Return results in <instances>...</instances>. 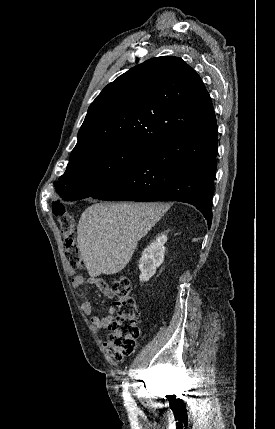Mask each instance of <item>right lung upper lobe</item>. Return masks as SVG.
I'll use <instances>...</instances> for the list:
<instances>
[{
	"instance_id": "cb5924a9",
	"label": "right lung upper lobe",
	"mask_w": 275,
	"mask_h": 429,
	"mask_svg": "<svg viewBox=\"0 0 275 429\" xmlns=\"http://www.w3.org/2000/svg\"><path fill=\"white\" fill-rule=\"evenodd\" d=\"M214 122L210 95L196 71L179 57L152 58L108 84L91 103L69 162L116 144L150 150Z\"/></svg>"
}]
</instances>
